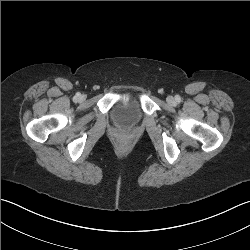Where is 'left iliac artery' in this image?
Wrapping results in <instances>:
<instances>
[{"mask_svg":"<svg viewBox=\"0 0 250 250\" xmlns=\"http://www.w3.org/2000/svg\"><path fill=\"white\" fill-rule=\"evenodd\" d=\"M176 100L179 101V100H180V97H179V96H176Z\"/></svg>","mask_w":250,"mask_h":250,"instance_id":"obj_1","label":"left iliac artery"}]
</instances>
